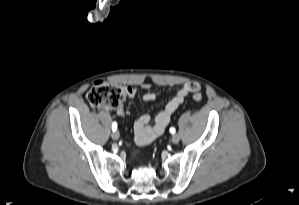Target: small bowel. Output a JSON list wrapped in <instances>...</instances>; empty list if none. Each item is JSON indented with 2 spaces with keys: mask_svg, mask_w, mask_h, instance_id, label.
Instances as JSON below:
<instances>
[{
  "mask_svg": "<svg viewBox=\"0 0 299 205\" xmlns=\"http://www.w3.org/2000/svg\"><path fill=\"white\" fill-rule=\"evenodd\" d=\"M142 88L147 90L141 99L144 102H152L157 98L156 93L150 91L148 84L142 85ZM200 86L197 82H186L176 92V94L166 103L164 108L155 116L154 124L150 125L151 116L142 114L138 116L134 122V138L137 144L147 145L161 136L169 125L172 114L184 102L185 98L190 94L197 92ZM126 94L132 97L136 94V88L131 86L125 87ZM116 114L123 117L125 112L122 106L116 108Z\"/></svg>",
  "mask_w": 299,
  "mask_h": 205,
  "instance_id": "small-bowel-1",
  "label": "small bowel"
}]
</instances>
